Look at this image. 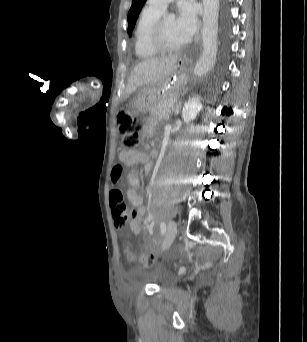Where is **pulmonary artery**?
<instances>
[{"label": "pulmonary artery", "instance_id": "pulmonary-artery-1", "mask_svg": "<svg viewBox=\"0 0 307 342\" xmlns=\"http://www.w3.org/2000/svg\"><path fill=\"white\" fill-rule=\"evenodd\" d=\"M172 1H146L147 7L159 14H163L166 10V6Z\"/></svg>", "mask_w": 307, "mask_h": 342}]
</instances>
